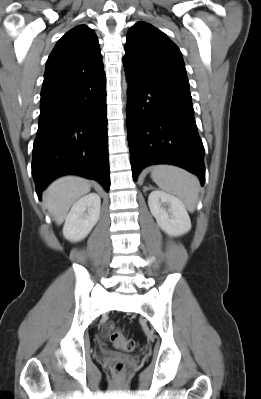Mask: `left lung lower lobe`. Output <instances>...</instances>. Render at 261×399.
<instances>
[{"label": "left lung lower lobe", "mask_w": 261, "mask_h": 399, "mask_svg": "<svg viewBox=\"0 0 261 399\" xmlns=\"http://www.w3.org/2000/svg\"><path fill=\"white\" fill-rule=\"evenodd\" d=\"M126 71L127 131L134 180L147 166L173 164L196 174L203 185L204 147L189 89L151 83Z\"/></svg>", "instance_id": "left-lung-lower-lobe-1"}]
</instances>
